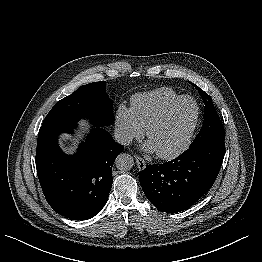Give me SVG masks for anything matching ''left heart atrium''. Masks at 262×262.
<instances>
[{"instance_id": "obj_1", "label": "left heart atrium", "mask_w": 262, "mask_h": 262, "mask_svg": "<svg viewBox=\"0 0 262 262\" xmlns=\"http://www.w3.org/2000/svg\"><path fill=\"white\" fill-rule=\"evenodd\" d=\"M143 148L148 153L156 152V149H155V147H154V145L152 144L151 141L146 142Z\"/></svg>"}]
</instances>
